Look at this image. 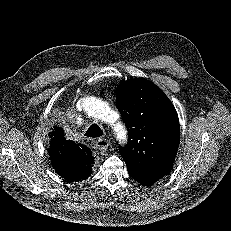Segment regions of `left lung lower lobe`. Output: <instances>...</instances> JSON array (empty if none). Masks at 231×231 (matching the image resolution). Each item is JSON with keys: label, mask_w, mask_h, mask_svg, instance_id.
Masks as SVG:
<instances>
[{"label": "left lung lower lobe", "mask_w": 231, "mask_h": 231, "mask_svg": "<svg viewBox=\"0 0 231 231\" xmlns=\"http://www.w3.org/2000/svg\"><path fill=\"white\" fill-rule=\"evenodd\" d=\"M128 172L133 179H135L138 183L145 186L153 185L157 180L168 174V173L159 174V173H150V172H132V171H128Z\"/></svg>", "instance_id": "obj_1"}]
</instances>
